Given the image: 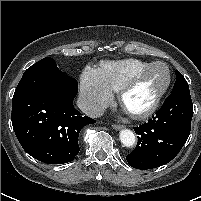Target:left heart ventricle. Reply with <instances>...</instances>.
Returning <instances> with one entry per match:
<instances>
[{
    "label": "left heart ventricle",
    "instance_id": "left-heart-ventricle-1",
    "mask_svg": "<svg viewBox=\"0 0 201 201\" xmlns=\"http://www.w3.org/2000/svg\"><path fill=\"white\" fill-rule=\"evenodd\" d=\"M167 80V70L162 65L153 67L126 95L124 106L128 111L147 107Z\"/></svg>",
    "mask_w": 201,
    "mask_h": 201
}]
</instances>
